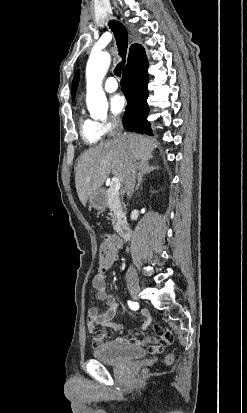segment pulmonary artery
Here are the masks:
<instances>
[{
  "label": "pulmonary artery",
  "instance_id": "pulmonary-artery-1",
  "mask_svg": "<svg viewBox=\"0 0 247 413\" xmlns=\"http://www.w3.org/2000/svg\"><path fill=\"white\" fill-rule=\"evenodd\" d=\"M104 89L106 92L112 93L118 89V82L114 77H109L104 82Z\"/></svg>",
  "mask_w": 247,
  "mask_h": 413
}]
</instances>
